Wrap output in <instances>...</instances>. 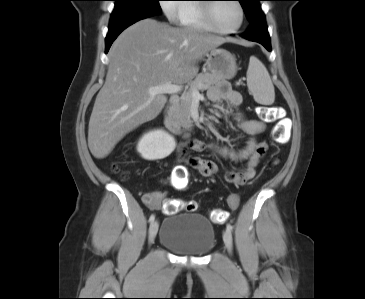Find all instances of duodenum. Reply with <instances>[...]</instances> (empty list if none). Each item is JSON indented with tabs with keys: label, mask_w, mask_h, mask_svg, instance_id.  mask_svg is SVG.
<instances>
[{
	"label": "duodenum",
	"mask_w": 365,
	"mask_h": 299,
	"mask_svg": "<svg viewBox=\"0 0 365 299\" xmlns=\"http://www.w3.org/2000/svg\"><path fill=\"white\" fill-rule=\"evenodd\" d=\"M179 103L178 95H171L167 107L164 110V125L174 133L182 134L185 131V125L174 119V110Z\"/></svg>",
	"instance_id": "obj_1"
}]
</instances>
